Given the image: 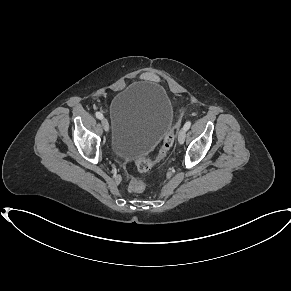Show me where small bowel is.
I'll list each match as a JSON object with an SVG mask.
<instances>
[{
    "label": "small bowel",
    "instance_id": "obj_1",
    "mask_svg": "<svg viewBox=\"0 0 291 291\" xmlns=\"http://www.w3.org/2000/svg\"><path fill=\"white\" fill-rule=\"evenodd\" d=\"M141 77L145 80L152 81V82L159 81L158 76L152 72H145L141 75Z\"/></svg>",
    "mask_w": 291,
    "mask_h": 291
}]
</instances>
